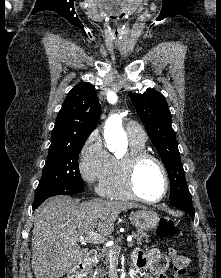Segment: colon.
<instances>
[{
  "label": "colon",
  "mask_w": 221,
  "mask_h": 278,
  "mask_svg": "<svg viewBox=\"0 0 221 278\" xmlns=\"http://www.w3.org/2000/svg\"><path fill=\"white\" fill-rule=\"evenodd\" d=\"M157 234L161 238L176 237V227L174 222L169 217H162L159 220ZM173 255V273L178 276L186 275L189 260L186 256L172 250Z\"/></svg>",
  "instance_id": "colon-1"
}]
</instances>
